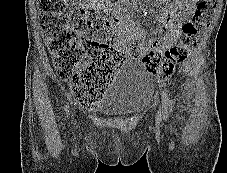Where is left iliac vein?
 <instances>
[{"mask_svg": "<svg viewBox=\"0 0 227 173\" xmlns=\"http://www.w3.org/2000/svg\"><path fill=\"white\" fill-rule=\"evenodd\" d=\"M162 117H163V110L161 109V107H159L157 116H156L157 122H161Z\"/></svg>", "mask_w": 227, "mask_h": 173, "instance_id": "obj_1", "label": "left iliac vein"}]
</instances>
